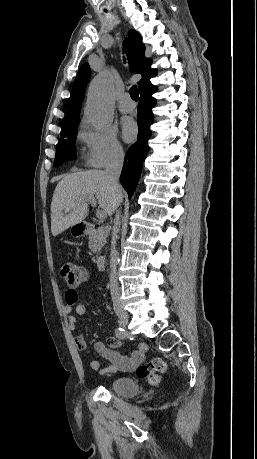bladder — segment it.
Masks as SVG:
<instances>
[{
    "instance_id": "obj_1",
    "label": "bladder",
    "mask_w": 257,
    "mask_h": 459,
    "mask_svg": "<svg viewBox=\"0 0 257 459\" xmlns=\"http://www.w3.org/2000/svg\"><path fill=\"white\" fill-rule=\"evenodd\" d=\"M110 390L121 397H133L140 393L138 383L131 377L119 376L110 383Z\"/></svg>"
}]
</instances>
